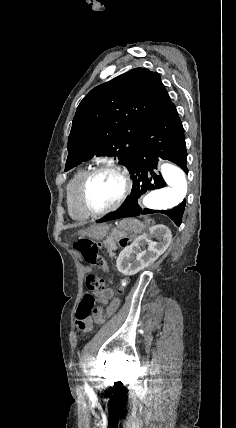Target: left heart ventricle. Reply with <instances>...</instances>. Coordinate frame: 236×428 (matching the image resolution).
Returning a JSON list of instances; mask_svg holds the SVG:
<instances>
[{
  "label": "left heart ventricle",
  "mask_w": 236,
  "mask_h": 428,
  "mask_svg": "<svg viewBox=\"0 0 236 428\" xmlns=\"http://www.w3.org/2000/svg\"><path fill=\"white\" fill-rule=\"evenodd\" d=\"M125 189L122 177L112 171L96 175L89 183L87 197L90 205L97 210L117 203Z\"/></svg>",
  "instance_id": "left-heart-ventricle-1"
}]
</instances>
